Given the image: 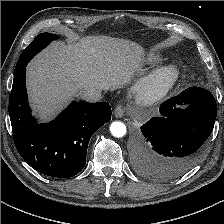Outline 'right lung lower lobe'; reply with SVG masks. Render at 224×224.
<instances>
[{
    "label": "right lung lower lobe",
    "mask_w": 224,
    "mask_h": 224,
    "mask_svg": "<svg viewBox=\"0 0 224 224\" xmlns=\"http://www.w3.org/2000/svg\"><path fill=\"white\" fill-rule=\"evenodd\" d=\"M26 63L14 74L9 99V115L19 154L42 174L68 178L86 164L92 134L111 119L107 102H72L55 120L38 124L28 104Z\"/></svg>",
    "instance_id": "right-lung-lower-lobe-1"
}]
</instances>
